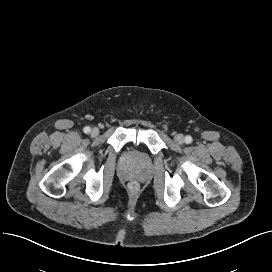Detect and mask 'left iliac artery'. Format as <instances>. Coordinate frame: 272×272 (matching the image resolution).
<instances>
[{"label": "left iliac artery", "instance_id": "left-iliac-artery-1", "mask_svg": "<svg viewBox=\"0 0 272 272\" xmlns=\"http://www.w3.org/2000/svg\"><path fill=\"white\" fill-rule=\"evenodd\" d=\"M185 142H186L187 144H190V143L192 142V137H191V136H186V137H185Z\"/></svg>", "mask_w": 272, "mask_h": 272}]
</instances>
